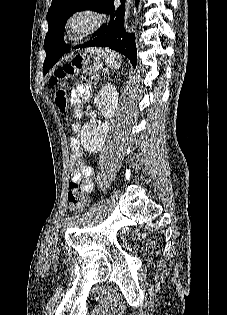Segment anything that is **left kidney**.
I'll use <instances>...</instances> for the list:
<instances>
[{
  "label": "left kidney",
  "mask_w": 227,
  "mask_h": 315,
  "mask_svg": "<svg viewBox=\"0 0 227 315\" xmlns=\"http://www.w3.org/2000/svg\"><path fill=\"white\" fill-rule=\"evenodd\" d=\"M118 92L114 85H105L94 98V104L100 113L106 118V122L100 126L85 123L81 130V143L84 149L90 153L100 151L105 143L110 130L109 119L114 115L118 107Z\"/></svg>",
  "instance_id": "obj_1"
}]
</instances>
